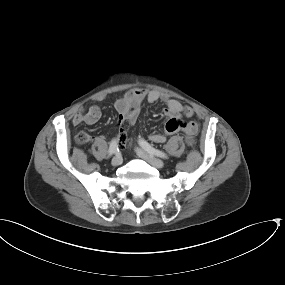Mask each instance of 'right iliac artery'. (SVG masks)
Here are the masks:
<instances>
[{
  "mask_svg": "<svg viewBox=\"0 0 285 285\" xmlns=\"http://www.w3.org/2000/svg\"><path fill=\"white\" fill-rule=\"evenodd\" d=\"M118 151V141L116 139L112 140L109 147V155H113Z\"/></svg>",
  "mask_w": 285,
  "mask_h": 285,
  "instance_id": "right-iliac-artery-1",
  "label": "right iliac artery"
}]
</instances>
